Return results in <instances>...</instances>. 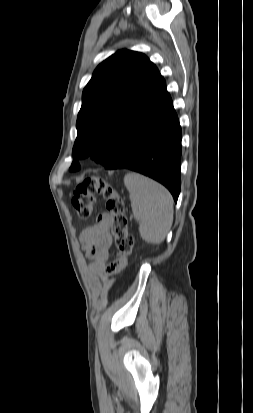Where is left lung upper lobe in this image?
I'll return each mask as SVG.
<instances>
[{
  "label": "left lung upper lobe",
  "mask_w": 253,
  "mask_h": 413,
  "mask_svg": "<svg viewBox=\"0 0 253 413\" xmlns=\"http://www.w3.org/2000/svg\"><path fill=\"white\" fill-rule=\"evenodd\" d=\"M163 81L142 53L124 49L103 61L83 90L70 171L80 169L78 158L90 156L103 166L111 162L122 125L142 111Z\"/></svg>",
  "instance_id": "obj_1"
}]
</instances>
